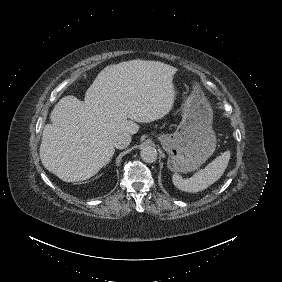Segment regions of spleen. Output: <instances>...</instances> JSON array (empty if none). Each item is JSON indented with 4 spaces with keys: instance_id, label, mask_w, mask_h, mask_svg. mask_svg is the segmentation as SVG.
<instances>
[{
    "instance_id": "spleen-1",
    "label": "spleen",
    "mask_w": 282,
    "mask_h": 282,
    "mask_svg": "<svg viewBox=\"0 0 282 282\" xmlns=\"http://www.w3.org/2000/svg\"><path fill=\"white\" fill-rule=\"evenodd\" d=\"M231 158V150H225L211 161L204 169L192 177L182 179L177 173L172 175V182L176 188L184 192H200L217 182L224 174Z\"/></svg>"
}]
</instances>
